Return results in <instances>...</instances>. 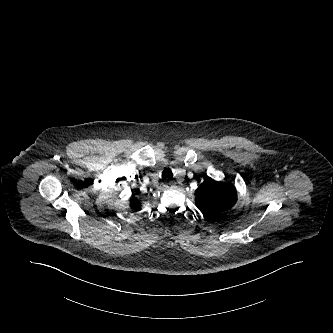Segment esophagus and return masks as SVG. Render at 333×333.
Instances as JSON below:
<instances>
[{
  "label": "esophagus",
  "mask_w": 333,
  "mask_h": 333,
  "mask_svg": "<svg viewBox=\"0 0 333 333\" xmlns=\"http://www.w3.org/2000/svg\"><path fill=\"white\" fill-rule=\"evenodd\" d=\"M164 188L165 189H174L176 188V184L170 180H168L165 184H164Z\"/></svg>",
  "instance_id": "34e87169"
}]
</instances>
